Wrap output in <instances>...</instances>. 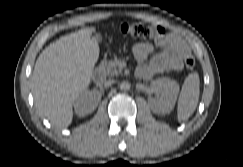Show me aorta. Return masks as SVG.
Segmentation results:
<instances>
[{"instance_id": "1", "label": "aorta", "mask_w": 243, "mask_h": 167, "mask_svg": "<svg viewBox=\"0 0 243 167\" xmlns=\"http://www.w3.org/2000/svg\"><path fill=\"white\" fill-rule=\"evenodd\" d=\"M131 85L128 81H123L120 84V90L122 91H128L130 89Z\"/></svg>"}]
</instances>
